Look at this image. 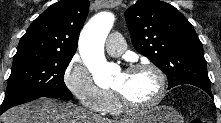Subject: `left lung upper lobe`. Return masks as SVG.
Segmentation results:
<instances>
[{"mask_svg": "<svg viewBox=\"0 0 221 123\" xmlns=\"http://www.w3.org/2000/svg\"><path fill=\"white\" fill-rule=\"evenodd\" d=\"M125 18L134 48L167 75L169 89L189 83L210 86L202 43L175 7L140 0L126 10Z\"/></svg>", "mask_w": 221, "mask_h": 123, "instance_id": "obj_1", "label": "left lung upper lobe"}]
</instances>
